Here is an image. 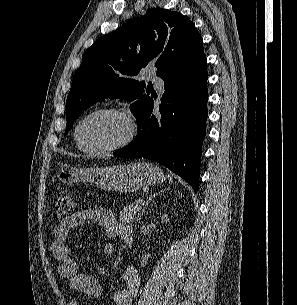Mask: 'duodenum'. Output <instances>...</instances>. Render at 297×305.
Returning a JSON list of instances; mask_svg holds the SVG:
<instances>
[{"label":"duodenum","instance_id":"duodenum-1","mask_svg":"<svg viewBox=\"0 0 297 305\" xmlns=\"http://www.w3.org/2000/svg\"><path fill=\"white\" fill-rule=\"evenodd\" d=\"M122 238L128 245L131 244L133 238V229H126L123 231Z\"/></svg>","mask_w":297,"mask_h":305}]
</instances>
